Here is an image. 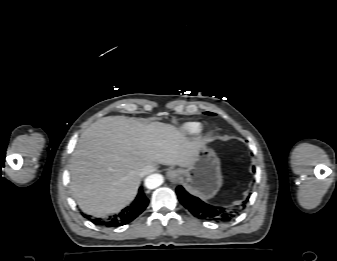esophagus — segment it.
<instances>
[{"label": "esophagus", "mask_w": 337, "mask_h": 261, "mask_svg": "<svg viewBox=\"0 0 337 261\" xmlns=\"http://www.w3.org/2000/svg\"><path fill=\"white\" fill-rule=\"evenodd\" d=\"M167 177L172 183H178L181 177L180 171L178 170H169L167 172Z\"/></svg>", "instance_id": "34e87169"}]
</instances>
